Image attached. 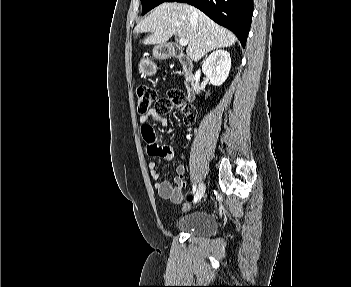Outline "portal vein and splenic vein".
<instances>
[{"label": "portal vein and splenic vein", "mask_w": 351, "mask_h": 287, "mask_svg": "<svg viewBox=\"0 0 351 287\" xmlns=\"http://www.w3.org/2000/svg\"><path fill=\"white\" fill-rule=\"evenodd\" d=\"M179 44H180L181 46H187L188 40L185 39V38H180V39H179Z\"/></svg>", "instance_id": "obj_1"}]
</instances>
